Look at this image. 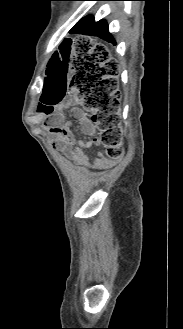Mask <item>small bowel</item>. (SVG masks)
<instances>
[{"label":"small bowel","instance_id":"c3829d8e","mask_svg":"<svg viewBox=\"0 0 183 329\" xmlns=\"http://www.w3.org/2000/svg\"><path fill=\"white\" fill-rule=\"evenodd\" d=\"M75 119L79 122V125L83 132L88 135L94 134V127L91 122L81 113H75ZM51 131L56 135V145L63 151L69 158L81 165H88V157L84 153V149L90 148L93 144L98 143V139L93 137L90 140L76 141L75 135L70 129L69 124H65L61 127H51ZM109 164L102 152L97 154L94 161L95 168H103Z\"/></svg>","mask_w":183,"mask_h":329}]
</instances>
